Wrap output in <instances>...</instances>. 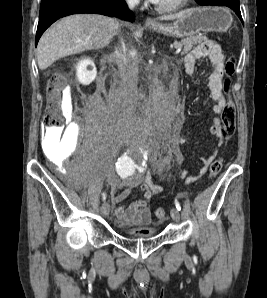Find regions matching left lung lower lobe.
<instances>
[{"label": "left lung lower lobe", "mask_w": 267, "mask_h": 298, "mask_svg": "<svg viewBox=\"0 0 267 298\" xmlns=\"http://www.w3.org/2000/svg\"><path fill=\"white\" fill-rule=\"evenodd\" d=\"M200 5V4H199ZM201 5H211V6H227L234 10L237 14V16L242 20L241 12H240V7H239V0H206L204 1Z\"/></svg>", "instance_id": "0a47b994"}]
</instances>
